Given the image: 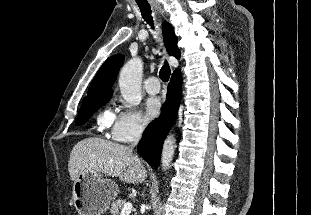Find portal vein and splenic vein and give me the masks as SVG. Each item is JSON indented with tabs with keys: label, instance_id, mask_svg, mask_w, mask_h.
I'll list each match as a JSON object with an SVG mask.
<instances>
[{
	"label": "portal vein and splenic vein",
	"instance_id": "18ae733b",
	"mask_svg": "<svg viewBox=\"0 0 311 215\" xmlns=\"http://www.w3.org/2000/svg\"><path fill=\"white\" fill-rule=\"evenodd\" d=\"M132 210V204L130 202H127L124 204L121 214L120 215H129Z\"/></svg>",
	"mask_w": 311,
	"mask_h": 215
}]
</instances>
